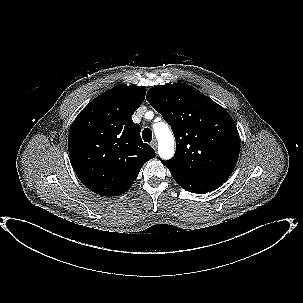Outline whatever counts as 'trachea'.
I'll return each mask as SVG.
<instances>
[{"label": "trachea", "mask_w": 303, "mask_h": 303, "mask_svg": "<svg viewBox=\"0 0 303 303\" xmlns=\"http://www.w3.org/2000/svg\"><path fill=\"white\" fill-rule=\"evenodd\" d=\"M142 137L145 142H151L152 140V131L149 128H145L142 132Z\"/></svg>", "instance_id": "1"}]
</instances>
